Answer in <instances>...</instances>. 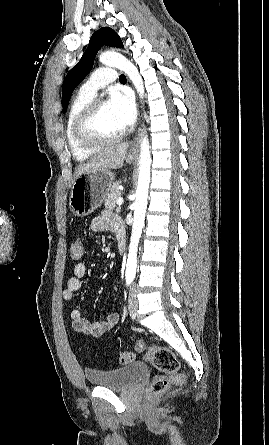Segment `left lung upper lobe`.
I'll return each mask as SVG.
<instances>
[{
  "mask_svg": "<svg viewBox=\"0 0 269 445\" xmlns=\"http://www.w3.org/2000/svg\"><path fill=\"white\" fill-rule=\"evenodd\" d=\"M104 44L113 47H123L122 40L113 29L103 27L94 32L80 61L67 73L64 79L62 85L63 113L67 110L72 92L91 71L95 55Z\"/></svg>",
  "mask_w": 269,
  "mask_h": 445,
  "instance_id": "1",
  "label": "left lung upper lobe"
}]
</instances>
